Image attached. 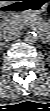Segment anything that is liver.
<instances>
[{
    "label": "liver",
    "instance_id": "1",
    "mask_svg": "<svg viewBox=\"0 0 50 111\" xmlns=\"http://www.w3.org/2000/svg\"><path fill=\"white\" fill-rule=\"evenodd\" d=\"M12 2H10V1H1L0 2V6L1 7H4V6H7V5H9V4H11Z\"/></svg>",
    "mask_w": 50,
    "mask_h": 111
}]
</instances>
